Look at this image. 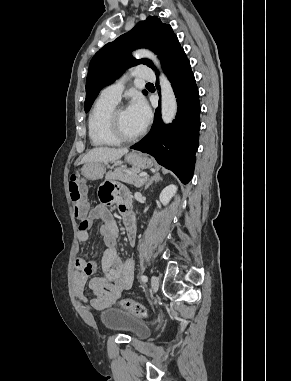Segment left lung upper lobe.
Masks as SVG:
<instances>
[{
	"mask_svg": "<svg viewBox=\"0 0 291 381\" xmlns=\"http://www.w3.org/2000/svg\"><path fill=\"white\" fill-rule=\"evenodd\" d=\"M137 48L154 51L163 68L182 49L169 24L155 16L140 21L131 31L107 43L92 58L86 79L85 112L89 111L100 90L118 78L124 69L140 63L153 66L148 59L136 60L131 56V51Z\"/></svg>",
	"mask_w": 291,
	"mask_h": 381,
	"instance_id": "5c2ea615",
	"label": "left lung upper lobe"
}]
</instances>
